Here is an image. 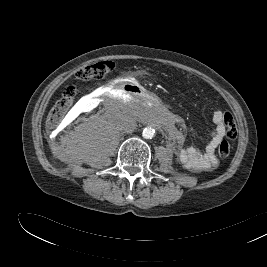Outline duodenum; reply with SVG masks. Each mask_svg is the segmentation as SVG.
Returning <instances> with one entry per match:
<instances>
[{
  "label": "duodenum",
  "instance_id": "duodenum-1",
  "mask_svg": "<svg viewBox=\"0 0 267 267\" xmlns=\"http://www.w3.org/2000/svg\"><path fill=\"white\" fill-rule=\"evenodd\" d=\"M112 91L114 93L128 92L129 94L140 95L149 99L152 103H155L159 108H164L166 106V101L162 96H159L154 90L136 83H115L112 86Z\"/></svg>",
  "mask_w": 267,
  "mask_h": 267
}]
</instances>
